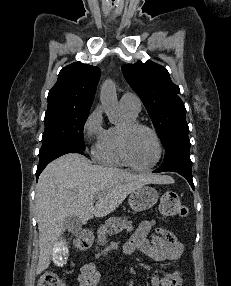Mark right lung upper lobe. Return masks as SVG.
<instances>
[{"label":"right lung upper lobe","instance_id":"1","mask_svg":"<svg viewBox=\"0 0 231 286\" xmlns=\"http://www.w3.org/2000/svg\"><path fill=\"white\" fill-rule=\"evenodd\" d=\"M101 71L97 66L81 62L64 67L57 83L49 91L48 108L90 109Z\"/></svg>","mask_w":231,"mask_h":286}]
</instances>
